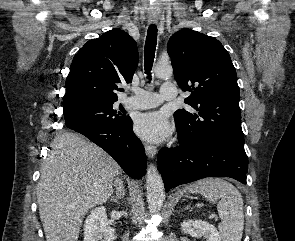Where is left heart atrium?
Here are the masks:
<instances>
[{"label":"left heart atrium","mask_w":295,"mask_h":241,"mask_svg":"<svg viewBox=\"0 0 295 241\" xmlns=\"http://www.w3.org/2000/svg\"><path fill=\"white\" fill-rule=\"evenodd\" d=\"M134 128L139 136L151 142H161L171 133L167 119L160 112L141 114L135 120Z\"/></svg>","instance_id":"1"}]
</instances>
